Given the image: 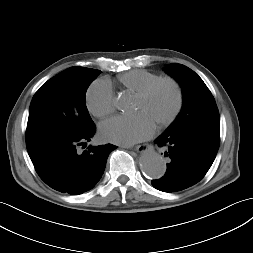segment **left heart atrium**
<instances>
[{
  "instance_id": "1",
  "label": "left heart atrium",
  "mask_w": 253,
  "mask_h": 253,
  "mask_svg": "<svg viewBox=\"0 0 253 253\" xmlns=\"http://www.w3.org/2000/svg\"><path fill=\"white\" fill-rule=\"evenodd\" d=\"M154 131V121L144 112L115 116L99 126L100 135L105 140L122 145H132L145 140Z\"/></svg>"
}]
</instances>
